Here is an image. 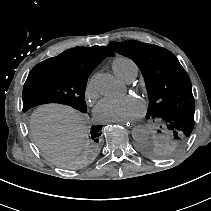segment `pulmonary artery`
Instances as JSON below:
<instances>
[{
    "mask_svg": "<svg viewBox=\"0 0 211 211\" xmlns=\"http://www.w3.org/2000/svg\"><path fill=\"white\" fill-rule=\"evenodd\" d=\"M135 79V76L130 78L127 82H132Z\"/></svg>",
    "mask_w": 211,
    "mask_h": 211,
    "instance_id": "e3ab8cb5",
    "label": "pulmonary artery"
}]
</instances>
